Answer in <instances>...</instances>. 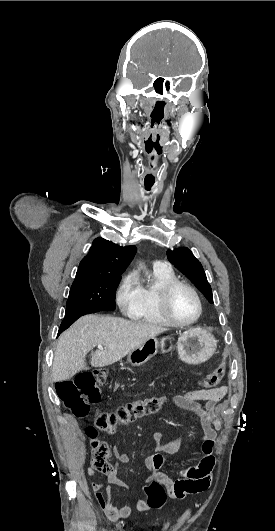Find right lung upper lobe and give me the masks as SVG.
Wrapping results in <instances>:
<instances>
[{
    "instance_id": "1",
    "label": "right lung upper lobe",
    "mask_w": 275,
    "mask_h": 531,
    "mask_svg": "<svg viewBox=\"0 0 275 531\" xmlns=\"http://www.w3.org/2000/svg\"><path fill=\"white\" fill-rule=\"evenodd\" d=\"M136 253L135 246L121 247L96 238L78 267L76 278L89 276H121Z\"/></svg>"
}]
</instances>
